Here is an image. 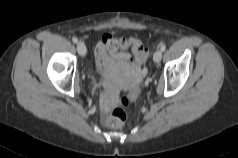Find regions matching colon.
<instances>
[{
	"mask_svg": "<svg viewBox=\"0 0 238 158\" xmlns=\"http://www.w3.org/2000/svg\"><path fill=\"white\" fill-rule=\"evenodd\" d=\"M115 48L121 52L131 50L135 59L139 63H144L148 57V51L145 46L134 38H120L115 41ZM130 104V97L126 94L119 99V106L115 108L106 118L105 124L110 128H120L124 125L127 112L126 107Z\"/></svg>",
	"mask_w": 238,
	"mask_h": 158,
	"instance_id": "5ec220e1",
	"label": "colon"
}]
</instances>
